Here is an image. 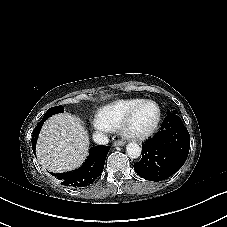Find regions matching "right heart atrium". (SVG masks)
I'll use <instances>...</instances> for the list:
<instances>
[{"label": "right heart atrium", "mask_w": 227, "mask_h": 227, "mask_svg": "<svg viewBox=\"0 0 227 227\" xmlns=\"http://www.w3.org/2000/svg\"><path fill=\"white\" fill-rule=\"evenodd\" d=\"M110 131V128L107 127V126H97L95 127V132L99 135H103V134H106L107 132Z\"/></svg>", "instance_id": "right-heart-atrium-1"}]
</instances>
